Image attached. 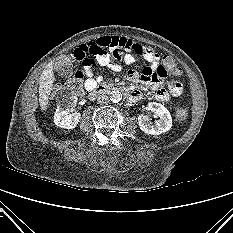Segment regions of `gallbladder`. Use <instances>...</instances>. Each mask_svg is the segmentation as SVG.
Returning a JSON list of instances; mask_svg holds the SVG:
<instances>
[{"mask_svg":"<svg viewBox=\"0 0 233 233\" xmlns=\"http://www.w3.org/2000/svg\"><path fill=\"white\" fill-rule=\"evenodd\" d=\"M71 72V68L69 66H62L59 68V73L62 75V76H67L69 73Z\"/></svg>","mask_w":233,"mask_h":233,"instance_id":"obj_1","label":"gallbladder"}]
</instances>
